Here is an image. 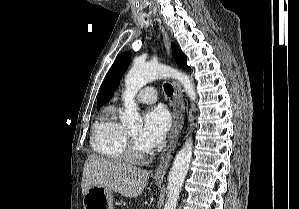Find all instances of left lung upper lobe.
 I'll return each mask as SVG.
<instances>
[{
	"label": "left lung upper lobe",
	"instance_id": "5c2ea615",
	"mask_svg": "<svg viewBox=\"0 0 299 209\" xmlns=\"http://www.w3.org/2000/svg\"><path fill=\"white\" fill-rule=\"evenodd\" d=\"M173 56L177 64L185 70H190V67L187 66V58L182 53V51L172 43ZM131 53L124 52L117 57L114 64L110 68L108 74L106 75L102 86L99 90L98 99H97V109L104 105L114 94V91L119 85V80L122 74L128 68L130 63Z\"/></svg>",
	"mask_w": 299,
	"mask_h": 209
}]
</instances>
